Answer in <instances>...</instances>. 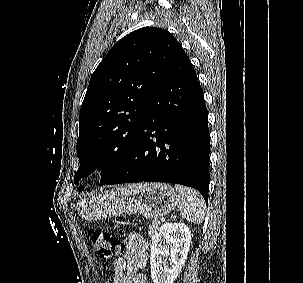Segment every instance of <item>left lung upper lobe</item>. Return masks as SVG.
Instances as JSON below:
<instances>
[{
  "label": "left lung upper lobe",
  "instance_id": "left-lung-upper-lobe-1",
  "mask_svg": "<svg viewBox=\"0 0 303 283\" xmlns=\"http://www.w3.org/2000/svg\"><path fill=\"white\" fill-rule=\"evenodd\" d=\"M182 50L168 31L144 27L119 40L103 58L81 106L76 184L97 167L102 168L100 185L120 170L153 96Z\"/></svg>",
  "mask_w": 303,
  "mask_h": 283
}]
</instances>
